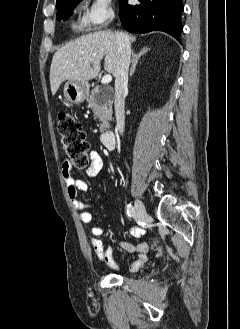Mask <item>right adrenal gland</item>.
<instances>
[{
    "label": "right adrenal gland",
    "instance_id": "right-adrenal-gland-1",
    "mask_svg": "<svg viewBox=\"0 0 240 329\" xmlns=\"http://www.w3.org/2000/svg\"><path fill=\"white\" fill-rule=\"evenodd\" d=\"M149 50L150 49L148 47H144L138 54H135L134 52H132L133 59H132V67L130 69V76H132L134 74L135 68H136V65L138 64L139 59Z\"/></svg>",
    "mask_w": 240,
    "mask_h": 329
}]
</instances>
